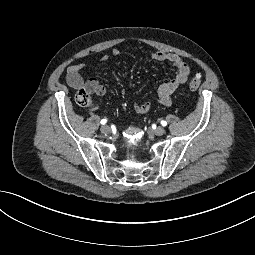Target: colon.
<instances>
[{
  "mask_svg": "<svg viewBox=\"0 0 255 255\" xmlns=\"http://www.w3.org/2000/svg\"><path fill=\"white\" fill-rule=\"evenodd\" d=\"M200 85H201L200 77L194 76L190 78L188 83L190 90H197L200 87ZM75 100L77 104L82 107L91 106L93 103L91 93L85 88H81L76 92Z\"/></svg>",
  "mask_w": 255,
  "mask_h": 255,
  "instance_id": "1",
  "label": "colon"
}]
</instances>
